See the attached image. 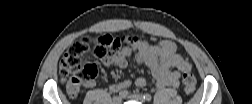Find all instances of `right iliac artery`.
<instances>
[{
  "instance_id": "1",
  "label": "right iliac artery",
  "mask_w": 252,
  "mask_h": 104,
  "mask_svg": "<svg viewBox=\"0 0 252 104\" xmlns=\"http://www.w3.org/2000/svg\"><path fill=\"white\" fill-rule=\"evenodd\" d=\"M119 95H120L122 98H126L127 95H128V92H127L126 90H124V91L120 92Z\"/></svg>"
}]
</instances>
